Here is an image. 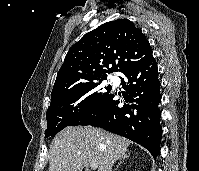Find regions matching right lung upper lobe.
Instances as JSON below:
<instances>
[{
	"label": "right lung upper lobe",
	"mask_w": 199,
	"mask_h": 171,
	"mask_svg": "<svg viewBox=\"0 0 199 171\" xmlns=\"http://www.w3.org/2000/svg\"><path fill=\"white\" fill-rule=\"evenodd\" d=\"M152 56L151 46L128 19L107 22L86 33L65 57L51 93V104L79 86L122 72Z\"/></svg>",
	"instance_id": "right-lung-upper-lobe-1"
}]
</instances>
